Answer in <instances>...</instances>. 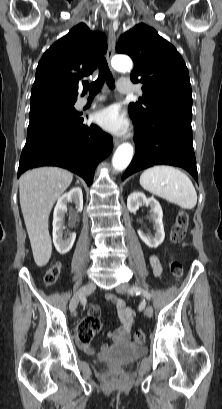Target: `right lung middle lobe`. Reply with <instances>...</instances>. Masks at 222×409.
<instances>
[{"label":"right lung middle lobe","mask_w":222,"mask_h":409,"mask_svg":"<svg viewBox=\"0 0 222 409\" xmlns=\"http://www.w3.org/2000/svg\"><path fill=\"white\" fill-rule=\"evenodd\" d=\"M74 103L75 102L47 103L36 107H31L29 124H33L53 112L66 111L71 114H77L78 112L74 108Z\"/></svg>","instance_id":"dd1d6c3e"}]
</instances>
